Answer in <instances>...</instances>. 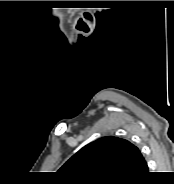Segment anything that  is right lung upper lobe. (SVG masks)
I'll use <instances>...</instances> for the list:
<instances>
[{
	"instance_id": "right-lung-upper-lobe-1",
	"label": "right lung upper lobe",
	"mask_w": 174,
	"mask_h": 184,
	"mask_svg": "<svg viewBox=\"0 0 174 184\" xmlns=\"http://www.w3.org/2000/svg\"><path fill=\"white\" fill-rule=\"evenodd\" d=\"M147 163L139 149L125 139L102 137L72 156L58 173L68 183H121L140 175Z\"/></svg>"
}]
</instances>
